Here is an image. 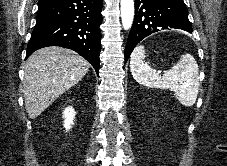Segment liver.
I'll return each instance as SVG.
<instances>
[{
	"instance_id": "liver-1",
	"label": "liver",
	"mask_w": 227,
	"mask_h": 166,
	"mask_svg": "<svg viewBox=\"0 0 227 166\" xmlns=\"http://www.w3.org/2000/svg\"><path fill=\"white\" fill-rule=\"evenodd\" d=\"M90 64L78 53L62 47H45L27 60L23 93L30 119L38 117L65 91L86 75Z\"/></svg>"
}]
</instances>
